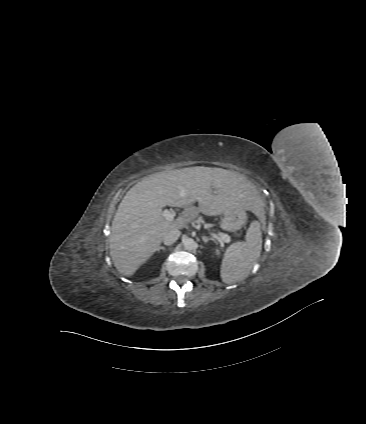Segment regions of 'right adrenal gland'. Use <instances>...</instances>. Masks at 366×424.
<instances>
[{
    "label": "right adrenal gland",
    "instance_id": "right-adrenal-gland-1",
    "mask_svg": "<svg viewBox=\"0 0 366 424\" xmlns=\"http://www.w3.org/2000/svg\"><path fill=\"white\" fill-rule=\"evenodd\" d=\"M160 250H166V248L164 247V246H159L158 248H157V252H159Z\"/></svg>",
    "mask_w": 366,
    "mask_h": 424
}]
</instances>
